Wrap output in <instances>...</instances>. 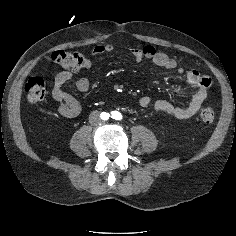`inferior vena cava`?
Returning a JSON list of instances; mask_svg holds the SVG:
<instances>
[{"instance_id":"inferior-vena-cava-1","label":"inferior vena cava","mask_w":236,"mask_h":236,"mask_svg":"<svg viewBox=\"0 0 236 236\" xmlns=\"http://www.w3.org/2000/svg\"><path fill=\"white\" fill-rule=\"evenodd\" d=\"M89 122L91 125H97L101 122L100 114L98 111H94L89 116Z\"/></svg>"}]
</instances>
